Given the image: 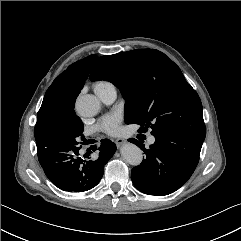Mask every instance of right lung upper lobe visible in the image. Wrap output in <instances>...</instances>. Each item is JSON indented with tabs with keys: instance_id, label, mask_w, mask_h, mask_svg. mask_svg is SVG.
I'll return each mask as SVG.
<instances>
[{
	"instance_id": "1",
	"label": "right lung upper lobe",
	"mask_w": 241,
	"mask_h": 241,
	"mask_svg": "<svg viewBox=\"0 0 241 241\" xmlns=\"http://www.w3.org/2000/svg\"><path fill=\"white\" fill-rule=\"evenodd\" d=\"M96 59V55H90L73 63L61 73L46 91L40 109L48 107L52 110H74L75 100ZM35 128L37 138L41 137L45 124L38 120Z\"/></svg>"
}]
</instances>
